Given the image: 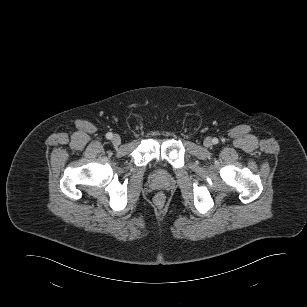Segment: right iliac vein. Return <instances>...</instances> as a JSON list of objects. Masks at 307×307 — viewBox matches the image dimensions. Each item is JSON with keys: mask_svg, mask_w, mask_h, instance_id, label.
Returning <instances> with one entry per match:
<instances>
[{"mask_svg": "<svg viewBox=\"0 0 307 307\" xmlns=\"http://www.w3.org/2000/svg\"><path fill=\"white\" fill-rule=\"evenodd\" d=\"M112 143L113 145L117 146L121 143V139H120V136L118 135H114L113 138H112Z\"/></svg>", "mask_w": 307, "mask_h": 307, "instance_id": "obj_1", "label": "right iliac vein"}]
</instances>
